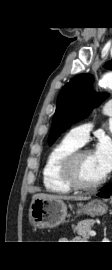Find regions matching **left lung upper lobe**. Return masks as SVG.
<instances>
[{
	"label": "left lung upper lobe",
	"mask_w": 112,
	"mask_h": 270,
	"mask_svg": "<svg viewBox=\"0 0 112 270\" xmlns=\"http://www.w3.org/2000/svg\"><path fill=\"white\" fill-rule=\"evenodd\" d=\"M105 67L112 70V61ZM93 76L82 74L71 79L61 90L57 99V108L53 117L48 138L52 145L57 137L80 117H86L94 107L99 105L107 94H96L92 89Z\"/></svg>",
	"instance_id": "5c2ea615"
}]
</instances>
